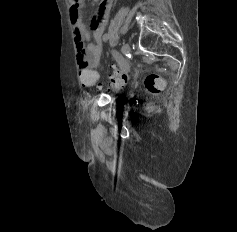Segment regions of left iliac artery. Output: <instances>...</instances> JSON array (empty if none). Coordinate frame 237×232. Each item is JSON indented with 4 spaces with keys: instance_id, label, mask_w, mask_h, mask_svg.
Instances as JSON below:
<instances>
[{
    "instance_id": "left-iliac-artery-1",
    "label": "left iliac artery",
    "mask_w": 237,
    "mask_h": 232,
    "mask_svg": "<svg viewBox=\"0 0 237 232\" xmlns=\"http://www.w3.org/2000/svg\"><path fill=\"white\" fill-rule=\"evenodd\" d=\"M109 39V34H104L103 41H107Z\"/></svg>"
}]
</instances>
